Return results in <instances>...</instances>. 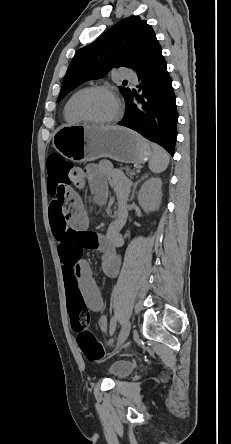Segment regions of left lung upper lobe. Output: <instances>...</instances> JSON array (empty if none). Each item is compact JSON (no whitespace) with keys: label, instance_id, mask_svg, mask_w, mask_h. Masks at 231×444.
Instances as JSON below:
<instances>
[{"label":"left lung upper lobe","instance_id":"obj_1","mask_svg":"<svg viewBox=\"0 0 231 444\" xmlns=\"http://www.w3.org/2000/svg\"><path fill=\"white\" fill-rule=\"evenodd\" d=\"M160 48L146 20L139 16L123 19L93 43L76 52L57 101L83 82L104 77L113 67L126 66L138 72ZM119 89L124 97L130 92L126 87Z\"/></svg>","mask_w":231,"mask_h":444}]
</instances>
